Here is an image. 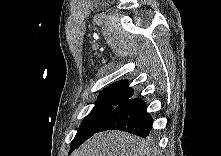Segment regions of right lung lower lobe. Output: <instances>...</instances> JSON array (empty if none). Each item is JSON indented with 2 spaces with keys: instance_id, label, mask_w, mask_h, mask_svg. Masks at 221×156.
Returning <instances> with one entry per match:
<instances>
[{
  "instance_id": "right-lung-lower-lobe-1",
  "label": "right lung lower lobe",
  "mask_w": 221,
  "mask_h": 156,
  "mask_svg": "<svg viewBox=\"0 0 221 156\" xmlns=\"http://www.w3.org/2000/svg\"><path fill=\"white\" fill-rule=\"evenodd\" d=\"M152 123L145 103L139 98H131L119 104L97 132L121 130L146 138L151 133Z\"/></svg>"
}]
</instances>
